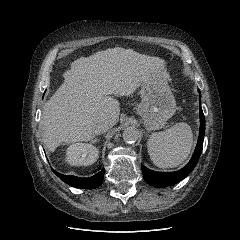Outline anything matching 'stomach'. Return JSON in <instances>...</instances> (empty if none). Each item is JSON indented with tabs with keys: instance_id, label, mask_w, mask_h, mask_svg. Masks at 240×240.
Instances as JSON below:
<instances>
[{
	"instance_id": "1",
	"label": "stomach",
	"mask_w": 240,
	"mask_h": 240,
	"mask_svg": "<svg viewBox=\"0 0 240 240\" xmlns=\"http://www.w3.org/2000/svg\"><path fill=\"white\" fill-rule=\"evenodd\" d=\"M141 103L136 113L148 131L162 128L176 111L175 98L168 80L160 74L151 75L141 83Z\"/></svg>"
}]
</instances>
